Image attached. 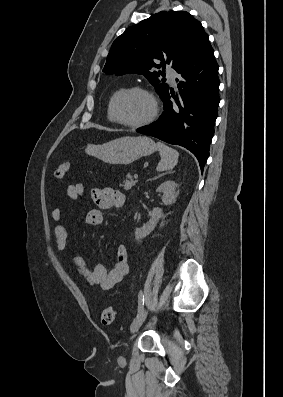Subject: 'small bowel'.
Instances as JSON below:
<instances>
[{
	"label": "small bowel",
	"mask_w": 283,
	"mask_h": 397,
	"mask_svg": "<svg viewBox=\"0 0 283 397\" xmlns=\"http://www.w3.org/2000/svg\"><path fill=\"white\" fill-rule=\"evenodd\" d=\"M67 195L72 200L85 197V189L82 183H72L67 187ZM91 200L95 207L88 210L85 222L89 225H99L102 222V210L121 208L125 204V195L111 188H95L91 193ZM54 221V236L56 248L63 251L67 245L68 232L63 224L62 212L59 208L52 210ZM72 261L76 266L78 275L85 278L92 286H98L103 290H109L128 274V253L124 245H118L116 249V262L112 269L107 270L102 264H96L92 268L86 266L85 258L74 253Z\"/></svg>",
	"instance_id": "1"
}]
</instances>
